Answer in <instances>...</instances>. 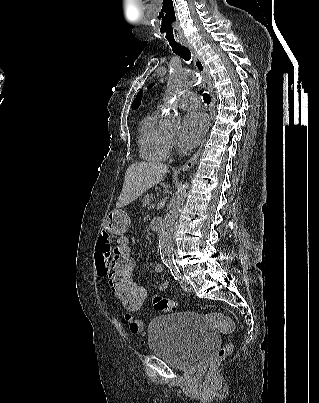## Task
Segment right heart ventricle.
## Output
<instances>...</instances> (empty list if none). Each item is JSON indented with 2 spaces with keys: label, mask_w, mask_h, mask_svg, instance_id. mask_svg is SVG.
Returning a JSON list of instances; mask_svg holds the SVG:
<instances>
[{
  "label": "right heart ventricle",
  "mask_w": 319,
  "mask_h": 403,
  "mask_svg": "<svg viewBox=\"0 0 319 403\" xmlns=\"http://www.w3.org/2000/svg\"><path fill=\"white\" fill-rule=\"evenodd\" d=\"M159 112L146 114L139 125V151L147 161H164L170 153V139L159 125Z\"/></svg>",
  "instance_id": "e07e8e85"
}]
</instances>
